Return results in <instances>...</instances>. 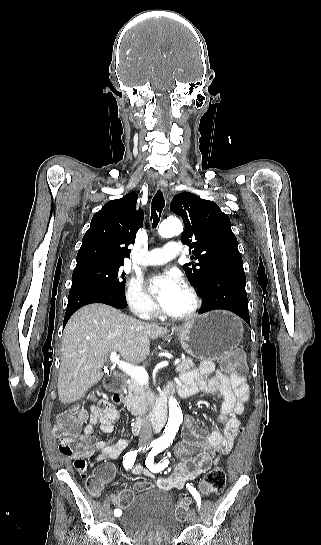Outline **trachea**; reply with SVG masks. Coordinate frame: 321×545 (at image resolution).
<instances>
[{
    "mask_svg": "<svg viewBox=\"0 0 321 545\" xmlns=\"http://www.w3.org/2000/svg\"><path fill=\"white\" fill-rule=\"evenodd\" d=\"M165 205L163 193L159 190L155 194L151 204L152 227L155 229L160 221V215Z\"/></svg>",
    "mask_w": 321,
    "mask_h": 545,
    "instance_id": "1",
    "label": "trachea"
}]
</instances>
